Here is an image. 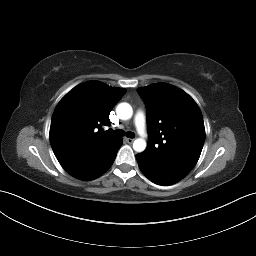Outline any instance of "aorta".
I'll list each match as a JSON object with an SVG mask.
<instances>
[{
	"label": "aorta",
	"instance_id": "obj_1",
	"mask_svg": "<svg viewBox=\"0 0 256 256\" xmlns=\"http://www.w3.org/2000/svg\"><path fill=\"white\" fill-rule=\"evenodd\" d=\"M117 116L122 120H128L133 115V109L128 103H120L116 108ZM146 148V141L138 138L133 142V149L136 152H143Z\"/></svg>",
	"mask_w": 256,
	"mask_h": 256
}]
</instances>
